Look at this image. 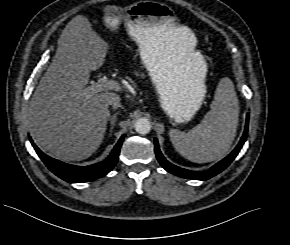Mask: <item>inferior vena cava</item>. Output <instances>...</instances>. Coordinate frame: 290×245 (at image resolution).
<instances>
[{
    "mask_svg": "<svg viewBox=\"0 0 290 245\" xmlns=\"http://www.w3.org/2000/svg\"><path fill=\"white\" fill-rule=\"evenodd\" d=\"M120 97L117 96L115 98H113L110 102H109V105L111 106V108L113 110H116L118 108H122V104H121V101H120Z\"/></svg>",
    "mask_w": 290,
    "mask_h": 245,
    "instance_id": "1",
    "label": "inferior vena cava"
}]
</instances>
